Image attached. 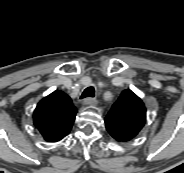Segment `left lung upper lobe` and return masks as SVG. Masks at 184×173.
Segmentation results:
<instances>
[{"label": "left lung upper lobe", "mask_w": 184, "mask_h": 173, "mask_svg": "<svg viewBox=\"0 0 184 173\" xmlns=\"http://www.w3.org/2000/svg\"><path fill=\"white\" fill-rule=\"evenodd\" d=\"M146 122V109L142 100L131 90L122 92L105 118L110 135L122 142L135 138Z\"/></svg>", "instance_id": "5c2ea615"}]
</instances>
